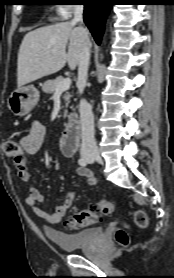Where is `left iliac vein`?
I'll return each instance as SVG.
<instances>
[{
    "label": "left iliac vein",
    "mask_w": 174,
    "mask_h": 278,
    "mask_svg": "<svg viewBox=\"0 0 174 278\" xmlns=\"http://www.w3.org/2000/svg\"><path fill=\"white\" fill-rule=\"evenodd\" d=\"M89 161V163H92L93 162V160H88Z\"/></svg>",
    "instance_id": "4c4485c4"
}]
</instances>
